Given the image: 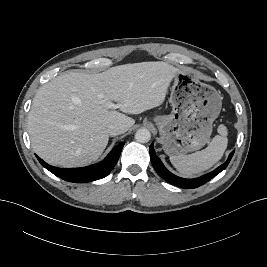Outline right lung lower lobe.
<instances>
[{
  "instance_id": "98d812e1",
  "label": "right lung lower lobe",
  "mask_w": 267,
  "mask_h": 267,
  "mask_svg": "<svg viewBox=\"0 0 267 267\" xmlns=\"http://www.w3.org/2000/svg\"><path fill=\"white\" fill-rule=\"evenodd\" d=\"M124 143L117 145L100 163L82 168H58L48 165L38 156L37 159L50 172L63 180L74 183H85L106 177L116 165Z\"/></svg>"
}]
</instances>
